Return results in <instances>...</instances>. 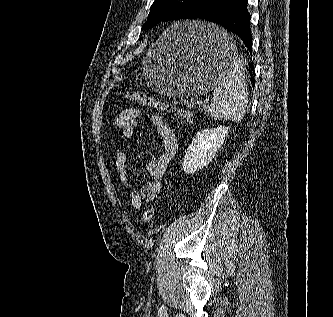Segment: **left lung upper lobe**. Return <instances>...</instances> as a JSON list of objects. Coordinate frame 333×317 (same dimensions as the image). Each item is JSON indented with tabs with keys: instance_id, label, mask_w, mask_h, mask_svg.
Masks as SVG:
<instances>
[{
	"instance_id": "left-lung-upper-lobe-1",
	"label": "left lung upper lobe",
	"mask_w": 333,
	"mask_h": 317,
	"mask_svg": "<svg viewBox=\"0 0 333 317\" xmlns=\"http://www.w3.org/2000/svg\"><path fill=\"white\" fill-rule=\"evenodd\" d=\"M213 0H155L142 30L168 20L185 19L189 13L210 4Z\"/></svg>"
}]
</instances>
